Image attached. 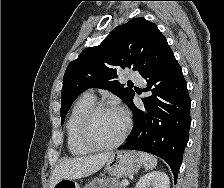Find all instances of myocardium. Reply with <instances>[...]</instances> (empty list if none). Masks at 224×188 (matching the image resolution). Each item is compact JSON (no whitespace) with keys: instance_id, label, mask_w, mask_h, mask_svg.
Instances as JSON below:
<instances>
[{"instance_id":"obj_1","label":"myocardium","mask_w":224,"mask_h":188,"mask_svg":"<svg viewBox=\"0 0 224 188\" xmlns=\"http://www.w3.org/2000/svg\"><path fill=\"white\" fill-rule=\"evenodd\" d=\"M114 110L123 114L125 119V127L121 133V135L111 143H99L96 141L91 133L92 123L95 117L103 111ZM131 129V120L130 118L118 107L108 104V103H98L95 104L83 117L81 125H80V138L81 141L90 149L93 150H107L113 149L121 145L126 139Z\"/></svg>"}]
</instances>
